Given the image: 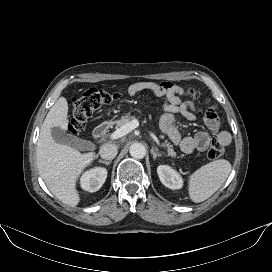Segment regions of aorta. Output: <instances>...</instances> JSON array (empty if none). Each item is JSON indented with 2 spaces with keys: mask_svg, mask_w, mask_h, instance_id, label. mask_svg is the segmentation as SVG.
<instances>
[{
  "mask_svg": "<svg viewBox=\"0 0 272 272\" xmlns=\"http://www.w3.org/2000/svg\"><path fill=\"white\" fill-rule=\"evenodd\" d=\"M130 155L135 159H142L146 154V149L141 143H134L130 146Z\"/></svg>",
  "mask_w": 272,
  "mask_h": 272,
  "instance_id": "1",
  "label": "aorta"
}]
</instances>
